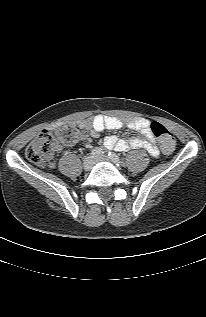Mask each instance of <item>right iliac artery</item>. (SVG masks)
I'll return each mask as SVG.
<instances>
[{"label": "right iliac artery", "mask_w": 206, "mask_h": 317, "mask_svg": "<svg viewBox=\"0 0 206 317\" xmlns=\"http://www.w3.org/2000/svg\"><path fill=\"white\" fill-rule=\"evenodd\" d=\"M104 153L102 148H95L90 152L91 157H98L101 156Z\"/></svg>", "instance_id": "right-iliac-artery-1"}]
</instances>
